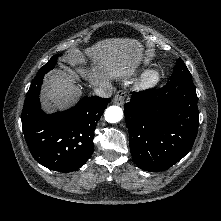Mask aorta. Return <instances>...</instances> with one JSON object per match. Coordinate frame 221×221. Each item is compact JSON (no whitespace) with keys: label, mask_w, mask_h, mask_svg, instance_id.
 Listing matches in <instances>:
<instances>
[{"label":"aorta","mask_w":221,"mask_h":221,"mask_svg":"<svg viewBox=\"0 0 221 221\" xmlns=\"http://www.w3.org/2000/svg\"><path fill=\"white\" fill-rule=\"evenodd\" d=\"M105 120L109 123H117L123 118V110L119 106H110L105 110Z\"/></svg>","instance_id":"aorta-1"}]
</instances>
